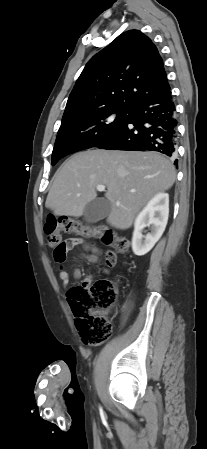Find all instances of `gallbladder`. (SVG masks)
Here are the masks:
<instances>
[{
  "label": "gallbladder",
  "mask_w": 207,
  "mask_h": 449,
  "mask_svg": "<svg viewBox=\"0 0 207 449\" xmlns=\"http://www.w3.org/2000/svg\"><path fill=\"white\" fill-rule=\"evenodd\" d=\"M111 211V204L105 198H96L89 202L83 213L84 220L88 223H96L106 218Z\"/></svg>",
  "instance_id": "obj_1"
}]
</instances>
